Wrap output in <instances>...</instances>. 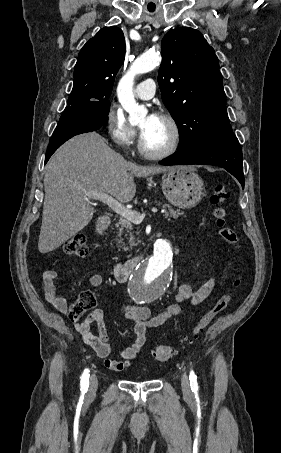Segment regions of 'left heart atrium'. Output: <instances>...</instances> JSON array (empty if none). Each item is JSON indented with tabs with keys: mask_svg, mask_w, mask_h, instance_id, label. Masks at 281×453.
Masks as SVG:
<instances>
[{
	"mask_svg": "<svg viewBox=\"0 0 281 453\" xmlns=\"http://www.w3.org/2000/svg\"><path fill=\"white\" fill-rule=\"evenodd\" d=\"M157 119H158V117H157L156 114H150V115H148L147 120H146V124H145V126L141 129V133L145 132L146 129L148 128V126H149L151 123H153L155 120H157Z\"/></svg>",
	"mask_w": 281,
	"mask_h": 453,
	"instance_id": "1",
	"label": "left heart atrium"
}]
</instances>
